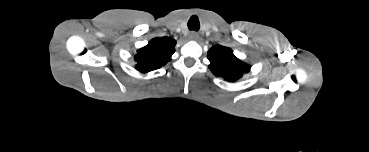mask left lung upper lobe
<instances>
[{
    "instance_id": "left-lung-upper-lobe-1",
    "label": "left lung upper lobe",
    "mask_w": 369,
    "mask_h": 152,
    "mask_svg": "<svg viewBox=\"0 0 369 152\" xmlns=\"http://www.w3.org/2000/svg\"><path fill=\"white\" fill-rule=\"evenodd\" d=\"M207 58L210 61L209 68L213 74L228 81H235L250 71V66L236 58L233 51L227 47L213 46L208 51Z\"/></svg>"
}]
</instances>
